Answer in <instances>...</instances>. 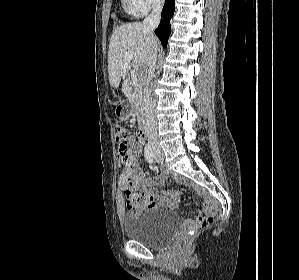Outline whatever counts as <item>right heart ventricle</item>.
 Listing matches in <instances>:
<instances>
[{
  "label": "right heart ventricle",
  "mask_w": 299,
  "mask_h": 280,
  "mask_svg": "<svg viewBox=\"0 0 299 280\" xmlns=\"http://www.w3.org/2000/svg\"><path fill=\"white\" fill-rule=\"evenodd\" d=\"M125 8L128 12L133 13V14H137V12L135 11V9L132 6V3L130 0H123Z\"/></svg>",
  "instance_id": "e07e8e85"
}]
</instances>
